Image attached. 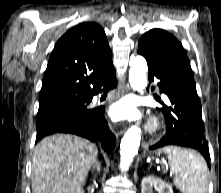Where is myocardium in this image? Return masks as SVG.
<instances>
[{
    "instance_id": "myocardium-1",
    "label": "myocardium",
    "mask_w": 221,
    "mask_h": 193,
    "mask_svg": "<svg viewBox=\"0 0 221 193\" xmlns=\"http://www.w3.org/2000/svg\"><path fill=\"white\" fill-rule=\"evenodd\" d=\"M160 129V124L157 119H152L149 125L147 126V131L149 133H156Z\"/></svg>"
}]
</instances>
